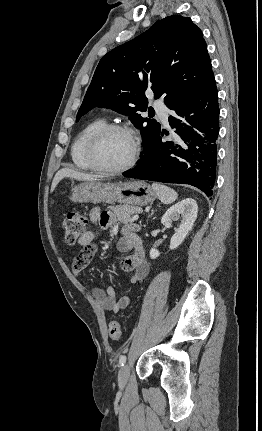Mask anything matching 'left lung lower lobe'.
<instances>
[{"instance_id": "0a47b994", "label": "left lung lower lobe", "mask_w": 262, "mask_h": 431, "mask_svg": "<svg viewBox=\"0 0 262 431\" xmlns=\"http://www.w3.org/2000/svg\"><path fill=\"white\" fill-rule=\"evenodd\" d=\"M174 133L162 141L160 131L144 149L137 166L126 177L195 186L213 194L216 177V140L219 133L218 91L215 78L179 106L171 109ZM168 135V133H166Z\"/></svg>"}]
</instances>
